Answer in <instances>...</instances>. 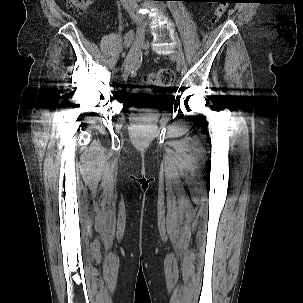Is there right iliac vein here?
Instances as JSON below:
<instances>
[{
  "label": "right iliac vein",
  "instance_id": "63e3f726",
  "mask_svg": "<svg viewBox=\"0 0 303 303\" xmlns=\"http://www.w3.org/2000/svg\"><path fill=\"white\" fill-rule=\"evenodd\" d=\"M145 32H146V24L144 22L139 21L137 23L135 39H134L133 45L125 59L124 66H126V67L130 66L136 61V59L141 51L144 39H145Z\"/></svg>",
  "mask_w": 303,
  "mask_h": 303
}]
</instances>
